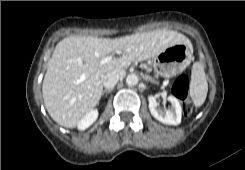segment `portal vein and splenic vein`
I'll return each mask as SVG.
<instances>
[{
    "instance_id": "1",
    "label": "portal vein and splenic vein",
    "mask_w": 245,
    "mask_h": 170,
    "mask_svg": "<svg viewBox=\"0 0 245 170\" xmlns=\"http://www.w3.org/2000/svg\"><path fill=\"white\" fill-rule=\"evenodd\" d=\"M127 51H129V50H127ZM112 59H113V56H112V55H109V56L103 58V59L101 60V63H102V64L108 63V62H110Z\"/></svg>"
}]
</instances>
